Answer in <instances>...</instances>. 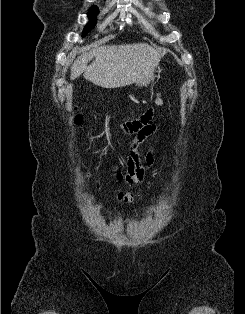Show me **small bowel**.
Segmentation results:
<instances>
[{
	"label": "small bowel",
	"instance_id": "c3829d8e",
	"mask_svg": "<svg viewBox=\"0 0 245 314\" xmlns=\"http://www.w3.org/2000/svg\"><path fill=\"white\" fill-rule=\"evenodd\" d=\"M162 104L161 93H157L154 103L140 116L121 125V131L125 133H137V135L133 141L131 150L125 155L124 160L115 165L117 181L126 182L130 185H138L145 180L146 172L141 165L136 147L147 137L155 133L154 116ZM154 153L155 149L151 146L146 159L149 167L153 164Z\"/></svg>",
	"mask_w": 245,
	"mask_h": 314
}]
</instances>
